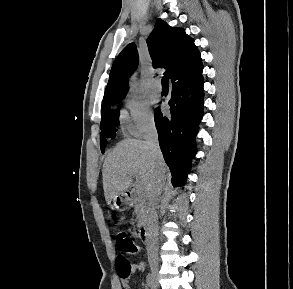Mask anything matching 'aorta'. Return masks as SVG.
Returning <instances> with one entry per match:
<instances>
[{
  "instance_id": "aorta-1",
  "label": "aorta",
  "mask_w": 293,
  "mask_h": 289,
  "mask_svg": "<svg viewBox=\"0 0 293 289\" xmlns=\"http://www.w3.org/2000/svg\"><path fill=\"white\" fill-rule=\"evenodd\" d=\"M131 86L132 87H135L136 86V81L134 79H132V81H131Z\"/></svg>"
}]
</instances>
